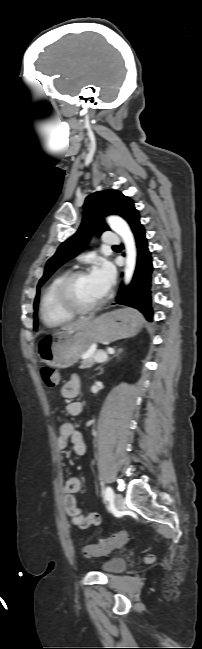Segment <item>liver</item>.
Here are the masks:
<instances>
[{"label":"liver","instance_id":"obj_1","mask_svg":"<svg viewBox=\"0 0 202 649\" xmlns=\"http://www.w3.org/2000/svg\"><path fill=\"white\" fill-rule=\"evenodd\" d=\"M92 320V317H82L76 321L67 323L61 327V330H70L73 328H79L87 324L89 321Z\"/></svg>","mask_w":202,"mask_h":649}]
</instances>
